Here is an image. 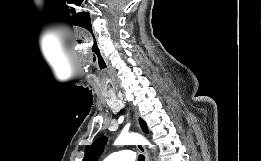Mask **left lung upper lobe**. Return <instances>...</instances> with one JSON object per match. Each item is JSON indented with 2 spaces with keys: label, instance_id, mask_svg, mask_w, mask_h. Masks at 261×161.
I'll list each match as a JSON object with an SVG mask.
<instances>
[{
  "label": "left lung upper lobe",
  "instance_id": "1",
  "mask_svg": "<svg viewBox=\"0 0 261 161\" xmlns=\"http://www.w3.org/2000/svg\"><path fill=\"white\" fill-rule=\"evenodd\" d=\"M140 125L142 127V130L145 133H148L146 124L142 119H140ZM106 142V137H100L97 140H95L92 145H86L85 156L82 161H97L99 155L103 151L104 145H106Z\"/></svg>",
  "mask_w": 261,
  "mask_h": 161
}]
</instances>
